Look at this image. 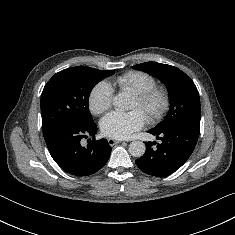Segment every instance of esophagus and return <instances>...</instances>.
Wrapping results in <instances>:
<instances>
[{"instance_id":"34e87169","label":"esophagus","mask_w":235,"mask_h":235,"mask_svg":"<svg viewBox=\"0 0 235 235\" xmlns=\"http://www.w3.org/2000/svg\"><path fill=\"white\" fill-rule=\"evenodd\" d=\"M120 142H121L120 140H115L113 138L108 139V143H109L110 146H114L116 144H119Z\"/></svg>"}]
</instances>
